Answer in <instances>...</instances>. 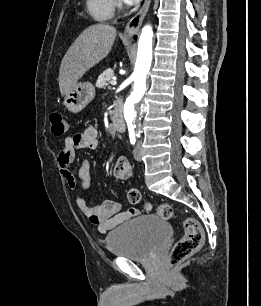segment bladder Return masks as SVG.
<instances>
[{
    "label": "bladder",
    "mask_w": 261,
    "mask_h": 306,
    "mask_svg": "<svg viewBox=\"0 0 261 306\" xmlns=\"http://www.w3.org/2000/svg\"><path fill=\"white\" fill-rule=\"evenodd\" d=\"M169 223L156 214L140 215L126 221L106 236L111 254L134 261L149 260L171 237Z\"/></svg>",
    "instance_id": "31cf9c89"
}]
</instances>
